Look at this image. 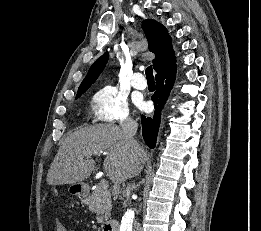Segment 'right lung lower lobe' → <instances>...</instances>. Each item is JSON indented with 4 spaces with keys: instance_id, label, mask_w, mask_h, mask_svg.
Instances as JSON below:
<instances>
[{
    "instance_id": "98d812e1",
    "label": "right lung lower lobe",
    "mask_w": 261,
    "mask_h": 231,
    "mask_svg": "<svg viewBox=\"0 0 261 231\" xmlns=\"http://www.w3.org/2000/svg\"><path fill=\"white\" fill-rule=\"evenodd\" d=\"M176 77V66L156 75V92L152 96L155 112L152 117L142 115L143 138L147 146L151 149L155 147L157 133L160 125V115L170 91L174 85Z\"/></svg>"
}]
</instances>
